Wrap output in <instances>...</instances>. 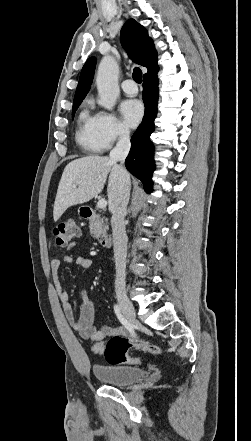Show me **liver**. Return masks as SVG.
<instances>
[{
  "label": "liver",
  "instance_id": "liver-1",
  "mask_svg": "<svg viewBox=\"0 0 251 441\" xmlns=\"http://www.w3.org/2000/svg\"><path fill=\"white\" fill-rule=\"evenodd\" d=\"M109 174L107 193L112 212L122 193L121 168L110 158L90 155L68 163L59 182L53 218L57 221L71 206L83 204L99 194Z\"/></svg>",
  "mask_w": 251,
  "mask_h": 441
}]
</instances>
